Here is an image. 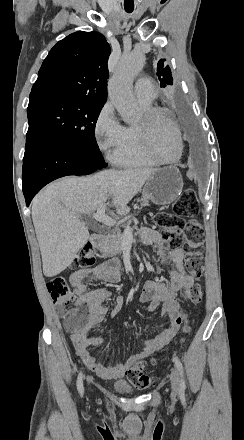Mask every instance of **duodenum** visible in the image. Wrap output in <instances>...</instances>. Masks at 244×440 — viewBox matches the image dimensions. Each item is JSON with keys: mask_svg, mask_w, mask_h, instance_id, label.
Listing matches in <instances>:
<instances>
[{"mask_svg": "<svg viewBox=\"0 0 244 440\" xmlns=\"http://www.w3.org/2000/svg\"><path fill=\"white\" fill-rule=\"evenodd\" d=\"M91 244L96 249L102 250L105 247L104 236L101 233H96L91 238Z\"/></svg>", "mask_w": 244, "mask_h": 440, "instance_id": "410a0bca", "label": "duodenum"}]
</instances>
